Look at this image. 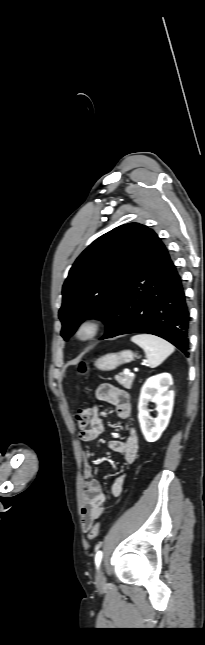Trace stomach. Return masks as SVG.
Segmentation results:
<instances>
[{
  "mask_svg": "<svg viewBox=\"0 0 205 645\" xmlns=\"http://www.w3.org/2000/svg\"><path fill=\"white\" fill-rule=\"evenodd\" d=\"M134 354L130 350H123L118 353L106 354L95 362V367L101 371H111L122 364L129 363L133 360Z\"/></svg>",
  "mask_w": 205,
  "mask_h": 645,
  "instance_id": "obj_1",
  "label": "stomach"
}]
</instances>
